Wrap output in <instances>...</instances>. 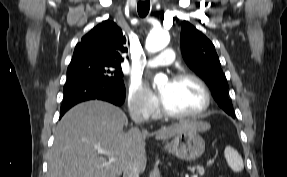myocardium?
I'll list each match as a JSON object with an SVG mask.
<instances>
[{
  "label": "myocardium",
  "instance_id": "obj_1",
  "mask_svg": "<svg viewBox=\"0 0 287 177\" xmlns=\"http://www.w3.org/2000/svg\"><path fill=\"white\" fill-rule=\"evenodd\" d=\"M183 80L193 81L194 83H196L200 87V89L203 93L204 102H203L201 108L194 113H176V112L170 111L165 106V104L161 101L160 106H161L162 113L168 118H172V119L198 118V117L202 116L210 108L212 99H211L210 90H209L208 86L206 85V83L197 75L192 74V73H188V72L178 73L173 78V81H183Z\"/></svg>",
  "mask_w": 287,
  "mask_h": 177
}]
</instances>
